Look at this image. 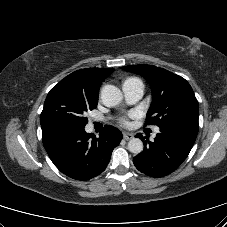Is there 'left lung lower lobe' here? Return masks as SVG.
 <instances>
[{
    "mask_svg": "<svg viewBox=\"0 0 227 227\" xmlns=\"http://www.w3.org/2000/svg\"><path fill=\"white\" fill-rule=\"evenodd\" d=\"M151 142L144 141V151L133 158L136 168L152 177H162L176 170L191 151L198 129L187 126L159 127ZM138 137L144 139L142 134Z\"/></svg>",
    "mask_w": 227,
    "mask_h": 227,
    "instance_id": "left-lung-lower-lobe-1",
    "label": "left lung lower lobe"
}]
</instances>
